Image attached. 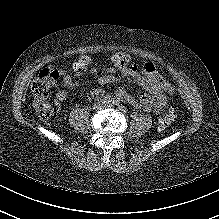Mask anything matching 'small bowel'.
I'll return each mask as SVG.
<instances>
[{
  "mask_svg": "<svg viewBox=\"0 0 219 219\" xmlns=\"http://www.w3.org/2000/svg\"><path fill=\"white\" fill-rule=\"evenodd\" d=\"M114 67L108 70L107 74L98 77L99 85H108L119 81H132L137 83L144 89V93L135 98L126 89L119 88L115 94L129 102L132 106L146 112L154 111L161 114L168 106L169 98L174 94V87L158 73L155 66L151 63L144 64L141 68L130 62L129 56L122 51H116L111 56ZM89 64V58L86 56L79 57L73 63L75 76L84 73ZM120 72V75L117 72ZM80 85L74 77L67 73H63L61 87L55 94V105L60 108L61 102L66 100L69 95V89ZM97 96H102L105 91L101 88L95 90Z\"/></svg>",
  "mask_w": 219,
  "mask_h": 219,
  "instance_id": "obj_1",
  "label": "small bowel"
}]
</instances>
